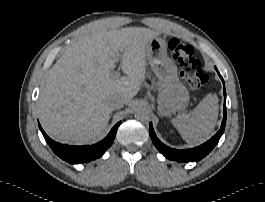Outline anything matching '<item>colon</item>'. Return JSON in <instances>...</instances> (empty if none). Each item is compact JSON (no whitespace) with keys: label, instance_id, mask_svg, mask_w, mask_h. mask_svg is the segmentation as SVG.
Listing matches in <instances>:
<instances>
[{"label":"colon","instance_id":"colon-1","mask_svg":"<svg viewBox=\"0 0 265 202\" xmlns=\"http://www.w3.org/2000/svg\"><path fill=\"white\" fill-rule=\"evenodd\" d=\"M168 46L187 85L193 89L201 88L208 81V74L203 70L200 60L195 57L194 48L177 38H172Z\"/></svg>","mask_w":265,"mask_h":202}]
</instances>
